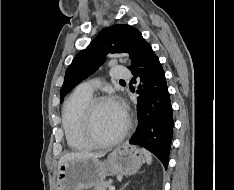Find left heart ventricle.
Listing matches in <instances>:
<instances>
[{
  "mask_svg": "<svg viewBox=\"0 0 234 190\" xmlns=\"http://www.w3.org/2000/svg\"><path fill=\"white\" fill-rule=\"evenodd\" d=\"M125 119L117 112L112 102L100 105L94 114L93 129L99 139H109L123 128Z\"/></svg>",
  "mask_w": 234,
  "mask_h": 190,
  "instance_id": "obj_1",
  "label": "left heart ventricle"
}]
</instances>
